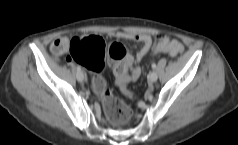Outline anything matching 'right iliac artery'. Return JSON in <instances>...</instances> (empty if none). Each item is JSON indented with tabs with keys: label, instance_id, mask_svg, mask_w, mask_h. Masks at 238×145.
<instances>
[{
	"label": "right iliac artery",
	"instance_id": "82829eb1",
	"mask_svg": "<svg viewBox=\"0 0 238 145\" xmlns=\"http://www.w3.org/2000/svg\"><path fill=\"white\" fill-rule=\"evenodd\" d=\"M77 71H78V72L81 71V67H80V66L77 67Z\"/></svg>",
	"mask_w": 238,
	"mask_h": 145
}]
</instances>
